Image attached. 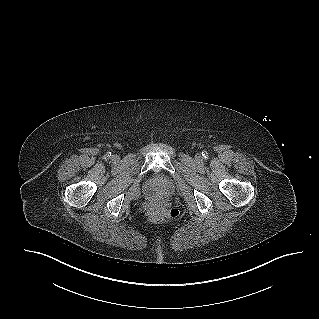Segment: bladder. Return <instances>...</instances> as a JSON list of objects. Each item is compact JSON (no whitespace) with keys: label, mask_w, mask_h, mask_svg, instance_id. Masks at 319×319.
Returning a JSON list of instances; mask_svg holds the SVG:
<instances>
[{"label":"bladder","mask_w":319,"mask_h":319,"mask_svg":"<svg viewBox=\"0 0 319 319\" xmlns=\"http://www.w3.org/2000/svg\"><path fill=\"white\" fill-rule=\"evenodd\" d=\"M172 190L173 183L171 179L162 174L150 177L144 187V193L148 198L168 196Z\"/></svg>","instance_id":"31cf9c89"}]
</instances>
